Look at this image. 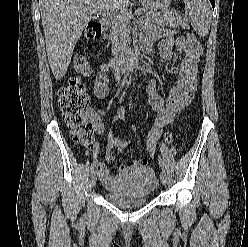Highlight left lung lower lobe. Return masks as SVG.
<instances>
[{"label":"left lung lower lobe","instance_id":"0a47b994","mask_svg":"<svg viewBox=\"0 0 248 247\" xmlns=\"http://www.w3.org/2000/svg\"><path fill=\"white\" fill-rule=\"evenodd\" d=\"M211 4H212V7H214L215 5V0H210Z\"/></svg>","mask_w":248,"mask_h":247}]
</instances>
